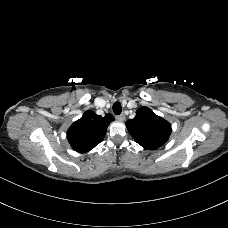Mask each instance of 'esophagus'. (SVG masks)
<instances>
[{
  "label": "esophagus",
  "instance_id": "obj_1",
  "mask_svg": "<svg viewBox=\"0 0 228 228\" xmlns=\"http://www.w3.org/2000/svg\"><path fill=\"white\" fill-rule=\"evenodd\" d=\"M125 115L124 114H120V115H117L116 116V119L119 120V121H124L125 120Z\"/></svg>",
  "mask_w": 228,
  "mask_h": 228
}]
</instances>
